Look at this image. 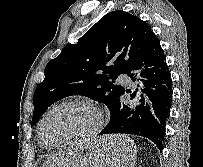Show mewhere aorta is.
<instances>
[{
  "label": "aorta",
  "instance_id": "762f6f07",
  "mask_svg": "<svg viewBox=\"0 0 203 167\" xmlns=\"http://www.w3.org/2000/svg\"><path fill=\"white\" fill-rule=\"evenodd\" d=\"M139 99H140V96H139V94H137L134 101L130 104V109L131 110H134L136 108V106L139 104Z\"/></svg>",
  "mask_w": 203,
  "mask_h": 167
}]
</instances>
